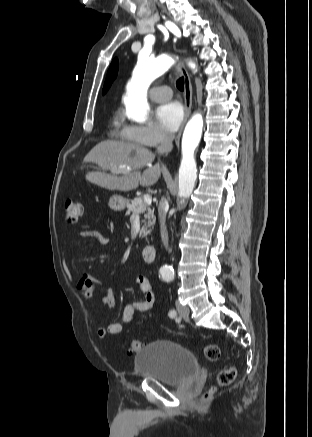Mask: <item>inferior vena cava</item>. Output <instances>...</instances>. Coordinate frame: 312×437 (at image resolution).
<instances>
[{
    "instance_id": "inferior-vena-cava-1",
    "label": "inferior vena cava",
    "mask_w": 312,
    "mask_h": 437,
    "mask_svg": "<svg viewBox=\"0 0 312 437\" xmlns=\"http://www.w3.org/2000/svg\"><path fill=\"white\" fill-rule=\"evenodd\" d=\"M174 135L168 132L163 133V138L161 140L160 145L158 146L157 150L162 153H167L172 150V141H173ZM167 206V201L165 198H162L159 202L158 206V217L160 222V234L162 242L166 249H168V232L166 229V211L165 208Z\"/></svg>"
}]
</instances>
